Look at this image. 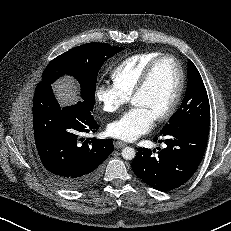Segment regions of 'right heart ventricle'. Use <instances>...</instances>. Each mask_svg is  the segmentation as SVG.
<instances>
[{
	"mask_svg": "<svg viewBox=\"0 0 231 231\" xmlns=\"http://www.w3.org/2000/svg\"><path fill=\"white\" fill-rule=\"evenodd\" d=\"M160 54V52H144L127 58L112 72L113 84L124 96L131 97L147 65Z\"/></svg>",
	"mask_w": 231,
	"mask_h": 231,
	"instance_id": "obj_1",
	"label": "right heart ventricle"
}]
</instances>
